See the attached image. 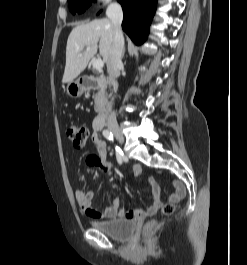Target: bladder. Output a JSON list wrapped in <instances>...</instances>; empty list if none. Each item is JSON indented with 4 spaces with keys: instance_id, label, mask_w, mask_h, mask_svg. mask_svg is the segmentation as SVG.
Wrapping results in <instances>:
<instances>
[{
    "instance_id": "31cf9c89",
    "label": "bladder",
    "mask_w": 247,
    "mask_h": 265,
    "mask_svg": "<svg viewBox=\"0 0 247 265\" xmlns=\"http://www.w3.org/2000/svg\"><path fill=\"white\" fill-rule=\"evenodd\" d=\"M91 226L110 238L124 240L130 237L134 231V224L129 219L94 220Z\"/></svg>"
}]
</instances>
